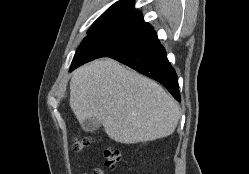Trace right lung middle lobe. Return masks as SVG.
Here are the masks:
<instances>
[{
  "label": "right lung middle lobe",
  "mask_w": 249,
  "mask_h": 174,
  "mask_svg": "<svg viewBox=\"0 0 249 174\" xmlns=\"http://www.w3.org/2000/svg\"><path fill=\"white\" fill-rule=\"evenodd\" d=\"M151 30L149 27L121 25L88 31L74 55L70 71L96 58L111 57L144 43Z\"/></svg>",
  "instance_id": "right-lung-middle-lobe-1"
}]
</instances>
